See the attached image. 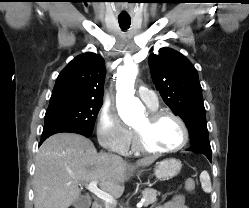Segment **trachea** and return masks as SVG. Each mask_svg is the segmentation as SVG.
<instances>
[{
	"mask_svg": "<svg viewBox=\"0 0 249 208\" xmlns=\"http://www.w3.org/2000/svg\"><path fill=\"white\" fill-rule=\"evenodd\" d=\"M118 22H119V25H120L122 30L129 29V27L131 25V20H129V19H119Z\"/></svg>",
	"mask_w": 249,
	"mask_h": 208,
	"instance_id": "1",
	"label": "trachea"
}]
</instances>
